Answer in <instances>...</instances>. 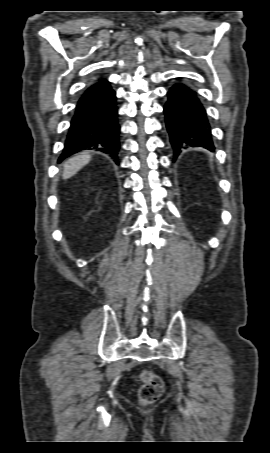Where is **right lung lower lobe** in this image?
I'll return each mask as SVG.
<instances>
[{
	"label": "right lung lower lobe",
	"mask_w": 270,
	"mask_h": 453,
	"mask_svg": "<svg viewBox=\"0 0 270 453\" xmlns=\"http://www.w3.org/2000/svg\"><path fill=\"white\" fill-rule=\"evenodd\" d=\"M117 116L116 94L109 82L102 79L88 87L77 102L59 162L82 150H96L118 164Z\"/></svg>",
	"instance_id": "1"
}]
</instances>
